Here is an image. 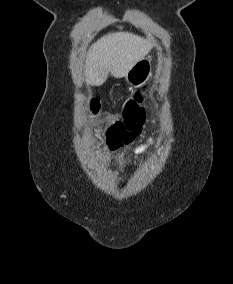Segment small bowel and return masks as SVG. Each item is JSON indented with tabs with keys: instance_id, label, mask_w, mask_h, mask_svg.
I'll return each mask as SVG.
<instances>
[{
	"instance_id": "c3829d8e",
	"label": "small bowel",
	"mask_w": 233,
	"mask_h": 284,
	"mask_svg": "<svg viewBox=\"0 0 233 284\" xmlns=\"http://www.w3.org/2000/svg\"><path fill=\"white\" fill-rule=\"evenodd\" d=\"M157 144H158V141L155 138H150L148 140L147 144H143V145H139V146L135 147L134 153L136 155H140V154L144 153L149 146H153V145L155 146Z\"/></svg>"
}]
</instances>
